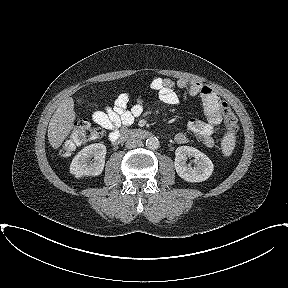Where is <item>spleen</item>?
I'll return each mask as SVG.
<instances>
[{
    "instance_id": "3e777b00",
    "label": "spleen",
    "mask_w": 288,
    "mask_h": 288,
    "mask_svg": "<svg viewBox=\"0 0 288 288\" xmlns=\"http://www.w3.org/2000/svg\"><path fill=\"white\" fill-rule=\"evenodd\" d=\"M235 146V140L234 136L232 134H228L226 137H224L222 142V151L225 156H229L234 149Z\"/></svg>"
}]
</instances>
